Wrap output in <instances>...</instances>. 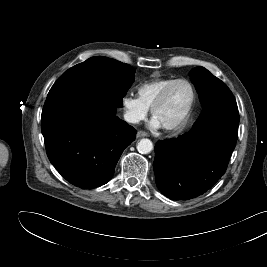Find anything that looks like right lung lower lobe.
<instances>
[{"instance_id": "right-lung-lower-lobe-1", "label": "right lung lower lobe", "mask_w": 267, "mask_h": 267, "mask_svg": "<svg viewBox=\"0 0 267 267\" xmlns=\"http://www.w3.org/2000/svg\"><path fill=\"white\" fill-rule=\"evenodd\" d=\"M117 106L71 97L43 108L41 130L56 170L71 184L91 189L106 184L136 130L119 119Z\"/></svg>"}]
</instances>
